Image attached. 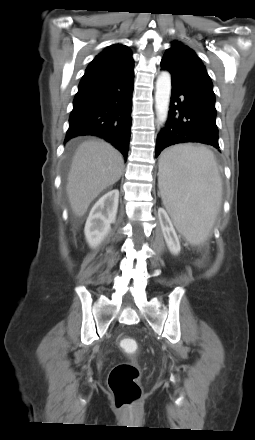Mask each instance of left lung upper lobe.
<instances>
[{"label": "left lung upper lobe", "mask_w": 255, "mask_h": 440, "mask_svg": "<svg viewBox=\"0 0 255 440\" xmlns=\"http://www.w3.org/2000/svg\"><path fill=\"white\" fill-rule=\"evenodd\" d=\"M161 68L171 73L172 83L190 95L215 105L212 81L201 59L191 48L173 41L162 58Z\"/></svg>", "instance_id": "1"}]
</instances>
